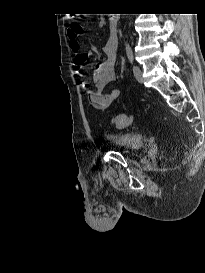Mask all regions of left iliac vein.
Segmentation results:
<instances>
[{
    "label": "left iliac vein",
    "mask_w": 205,
    "mask_h": 273,
    "mask_svg": "<svg viewBox=\"0 0 205 273\" xmlns=\"http://www.w3.org/2000/svg\"><path fill=\"white\" fill-rule=\"evenodd\" d=\"M133 74H134L136 80H137L139 83H143L142 71H141V69H140L139 66H137V65H134V66H133Z\"/></svg>",
    "instance_id": "obj_1"
}]
</instances>
